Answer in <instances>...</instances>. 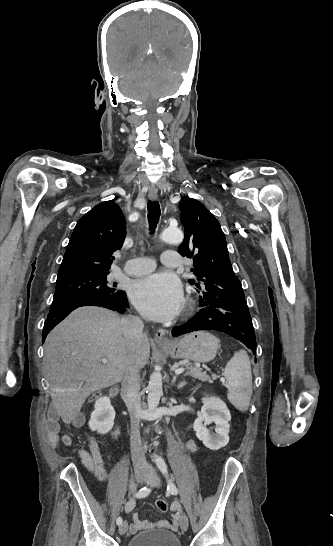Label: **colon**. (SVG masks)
<instances>
[{"label":"colon","instance_id":"5ec220e1","mask_svg":"<svg viewBox=\"0 0 333 546\" xmlns=\"http://www.w3.org/2000/svg\"><path fill=\"white\" fill-rule=\"evenodd\" d=\"M96 398H97V396L93 395L91 397V401H94ZM156 508L161 512H166L169 507H168V503L165 500L159 499V500L156 501Z\"/></svg>","mask_w":333,"mask_h":546}]
</instances>
